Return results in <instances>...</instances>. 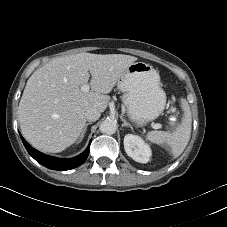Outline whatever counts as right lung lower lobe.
Wrapping results in <instances>:
<instances>
[{
	"label": "right lung lower lobe",
	"instance_id": "1",
	"mask_svg": "<svg viewBox=\"0 0 227 227\" xmlns=\"http://www.w3.org/2000/svg\"><path fill=\"white\" fill-rule=\"evenodd\" d=\"M21 139L25 148L27 149L28 153L31 155L32 158H34L41 165L53 170L65 171V170H71L73 168H76L81 164H83L89 155V146H88L87 149L82 154L74 158L62 159V158L52 157V156L45 155L37 151L33 147H31L23 137H21Z\"/></svg>",
	"mask_w": 227,
	"mask_h": 227
}]
</instances>
